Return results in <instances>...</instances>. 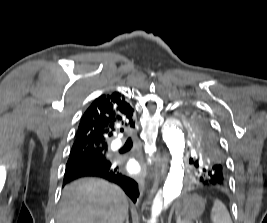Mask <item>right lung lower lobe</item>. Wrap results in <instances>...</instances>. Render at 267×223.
<instances>
[{"label": "right lung lower lobe", "instance_id": "right-lung-lower-lobe-1", "mask_svg": "<svg viewBox=\"0 0 267 223\" xmlns=\"http://www.w3.org/2000/svg\"><path fill=\"white\" fill-rule=\"evenodd\" d=\"M82 177H98L116 183L122 187L134 203L139 196L138 184L123 175L121 169L110 160L107 162L83 161L79 165L66 169L63 185Z\"/></svg>", "mask_w": 267, "mask_h": 223}]
</instances>
